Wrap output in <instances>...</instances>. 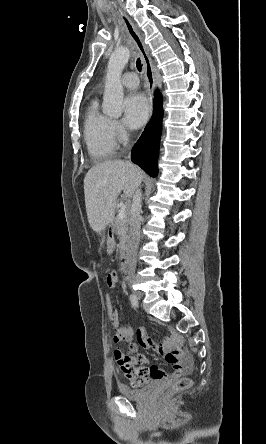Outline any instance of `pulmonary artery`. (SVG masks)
Segmentation results:
<instances>
[{
	"instance_id": "e3ab8cb5",
	"label": "pulmonary artery",
	"mask_w": 266,
	"mask_h": 444,
	"mask_svg": "<svg viewBox=\"0 0 266 444\" xmlns=\"http://www.w3.org/2000/svg\"><path fill=\"white\" fill-rule=\"evenodd\" d=\"M121 83L126 88L135 89L138 86L139 81L135 73L129 72L123 75L121 78Z\"/></svg>"
}]
</instances>
